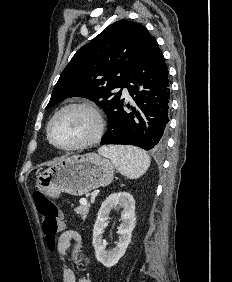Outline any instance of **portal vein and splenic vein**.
<instances>
[{
	"label": "portal vein and splenic vein",
	"instance_id": "portal-vein-and-splenic-vein-1",
	"mask_svg": "<svg viewBox=\"0 0 232 282\" xmlns=\"http://www.w3.org/2000/svg\"><path fill=\"white\" fill-rule=\"evenodd\" d=\"M87 199H85V198H82L81 200H80V204L81 205H87Z\"/></svg>",
	"mask_w": 232,
	"mask_h": 282
}]
</instances>
